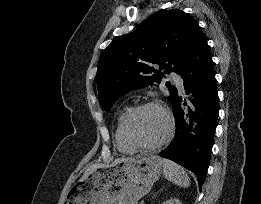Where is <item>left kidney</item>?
Listing matches in <instances>:
<instances>
[{
  "instance_id": "left-kidney-1",
  "label": "left kidney",
  "mask_w": 261,
  "mask_h": 204,
  "mask_svg": "<svg viewBox=\"0 0 261 204\" xmlns=\"http://www.w3.org/2000/svg\"><path fill=\"white\" fill-rule=\"evenodd\" d=\"M162 204H182L179 199H168L167 201L163 202Z\"/></svg>"
}]
</instances>
